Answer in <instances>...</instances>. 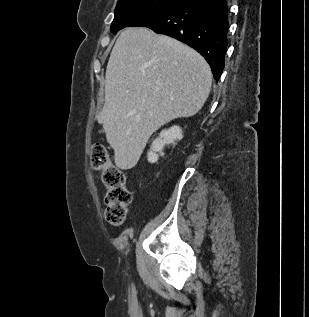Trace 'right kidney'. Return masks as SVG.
I'll list each match as a JSON object with an SVG mask.
<instances>
[{
    "instance_id": "ca27d5eb",
    "label": "right kidney",
    "mask_w": 309,
    "mask_h": 317,
    "mask_svg": "<svg viewBox=\"0 0 309 317\" xmlns=\"http://www.w3.org/2000/svg\"><path fill=\"white\" fill-rule=\"evenodd\" d=\"M183 138L182 129L179 126H172L168 130H162L159 137L156 138L151 145V149L148 152V162L155 163L160 156H164V146L173 144L175 145L177 140Z\"/></svg>"
}]
</instances>
